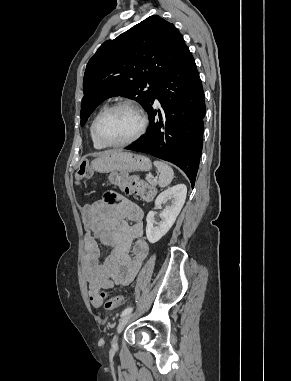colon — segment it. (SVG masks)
Returning <instances> with one entry per match:
<instances>
[{
  "mask_svg": "<svg viewBox=\"0 0 291 381\" xmlns=\"http://www.w3.org/2000/svg\"><path fill=\"white\" fill-rule=\"evenodd\" d=\"M86 173V166L81 165L75 172V178L80 180ZM111 181L121 189L130 194H135L143 200H150L154 196V189L146 182L127 176L125 174H115ZM102 300L106 299L105 309L108 311L118 308L122 304V298L118 294L107 295L105 292H99Z\"/></svg>",
  "mask_w": 291,
  "mask_h": 381,
  "instance_id": "5ec220e1",
  "label": "colon"
}]
</instances>
